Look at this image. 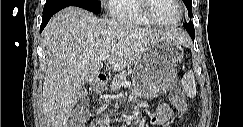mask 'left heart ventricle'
Here are the masks:
<instances>
[{"instance_id":"1","label":"left heart ventricle","mask_w":243,"mask_h":127,"mask_svg":"<svg viewBox=\"0 0 243 127\" xmlns=\"http://www.w3.org/2000/svg\"><path fill=\"white\" fill-rule=\"evenodd\" d=\"M153 12L164 23L173 24L179 20L180 10L175 0H153Z\"/></svg>"}]
</instances>
